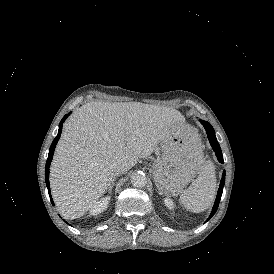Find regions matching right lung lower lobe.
I'll list each match as a JSON object with an SVG mask.
<instances>
[{"label": "right lung lower lobe", "instance_id": "right-lung-lower-lobe-1", "mask_svg": "<svg viewBox=\"0 0 274 274\" xmlns=\"http://www.w3.org/2000/svg\"><path fill=\"white\" fill-rule=\"evenodd\" d=\"M69 114L65 115L63 117V119L61 120L60 124H59V131H58V134L57 136L55 137V139L53 140L52 142V145L50 146V150H49V155H48V159H47V162H46V168H45V180H46V185H47V188H48V192H49V196H50V200L52 202V204L54 205L53 203V200L51 198V194H50V187H49V167H50V163H51V160H52V157H53V153H54V149H55V146L60 138V135H61V130H62V124L63 122L65 121V119L68 117Z\"/></svg>", "mask_w": 274, "mask_h": 274}]
</instances>
